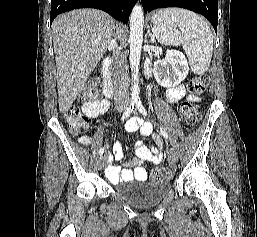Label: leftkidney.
<instances>
[{
    "instance_id": "obj_1",
    "label": "left kidney",
    "mask_w": 257,
    "mask_h": 237,
    "mask_svg": "<svg viewBox=\"0 0 257 237\" xmlns=\"http://www.w3.org/2000/svg\"><path fill=\"white\" fill-rule=\"evenodd\" d=\"M153 72L158 84L171 88L179 85L187 77L189 66L182 52L167 50L164 59L155 61Z\"/></svg>"
}]
</instances>
